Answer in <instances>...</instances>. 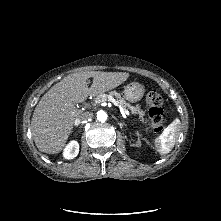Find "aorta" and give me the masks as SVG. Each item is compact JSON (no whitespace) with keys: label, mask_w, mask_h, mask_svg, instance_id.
I'll use <instances>...</instances> for the list:
<instances>
[{"label":"aorta","mask_w":221,"mask_h":221,"mask_svg":"<svg viewBox=\"0 0 221 221\" xmlns=\"http://www.w3.org/2000/svg\"><path fill=\"white\" fill-rule=\"evenodd\" d=\"M107 113L103 110H100L97 112V119L100 121V122H105L107 120Z\"/></svg>","instance_id":"762f6f07"}]
</instances>
